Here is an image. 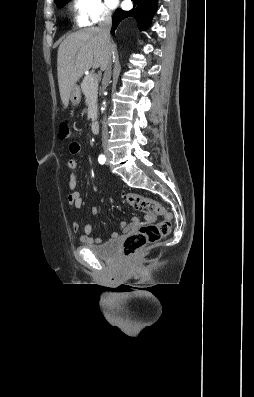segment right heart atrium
<instances>
[{"label":"right heart atrium","mask_w":254,"mask_h":397,"mask_svg":"<svg viewBox=\"0 0 254 397\" xmlns=\"http://www.w3.org/2000/svg\"><path fill=\"white\" fill-rule=\"evenodd\" d=\"M75 21L80 27H87L109 18L110 12L102 0H75Z\"/></svg>","instance_id":"obj_1"}]
</instances>
